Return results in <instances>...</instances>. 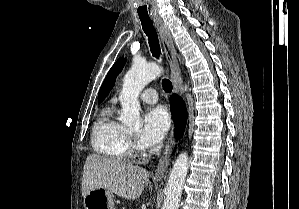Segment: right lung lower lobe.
Wrapping results in <instances>:
<instances>
[{
  "label": "right lung lower lobe",
  "mask_w": 299,
  "mask_h": 209,
  "mask_svg": "<svg viewBox=\"0 0 299 209\" xmlns=\"http://www.w3.org/2000/svg\"><path fill=\"white\" fill-rule=\"evenodd\" d=\"M171 110L176 126L175 135L180 137L186 125L187 113L182 98L176 94L171 96Z\"/></svg>",
  "instance_id": "obj_1"
}]
</instances>
